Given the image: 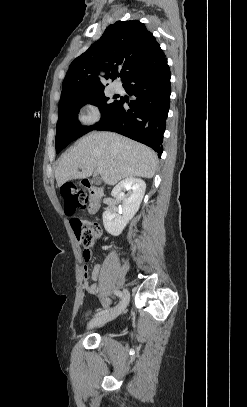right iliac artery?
Segmentation results:
<instances>
[{"label": "right iliac artery", "mask_w": 247, "mask_h": 407, "mask_svg": "<svg viewBox=\"0 0 247 407\" xmlns=\"http://www.w3.org/2000/svg\"><path fill=\"white\" fill-rule=\"evenodd\" d=\"M114 294H115L116 296L120 297V298H122V296H123V293H122L120 290H115V291H114ZM109 310H110V309L102 310V311L98 312V313L96 314V316L101 315V314H104V313L108 312Z\"/></svg>", "instance_id": "obj_1"}]
</instances>
